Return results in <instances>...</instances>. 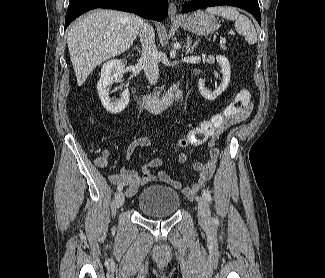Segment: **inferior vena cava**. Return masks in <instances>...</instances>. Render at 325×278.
Masks as SVG:
<instances>
[{"instance_id": "obj_1", "label": "inferior vena cava", "mask_w": 325, "mask_h": 278, "mask_svg": "<svg viewBox=\"0 0 325 278\" xmlns=\"http://www.w3.org/2000/svg\"><path fill=\"white\" fill-rule=\"evenodd\" d=\"M140 41L142 44V53L139 60L142 65L147 80L155 85L159 77V53L155 45L154 30L150 25H143L140 31Z\"/></svg>"}]
</instances>
